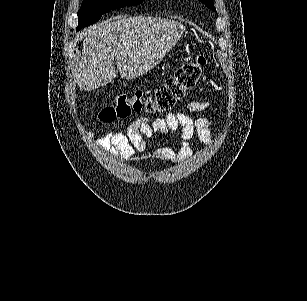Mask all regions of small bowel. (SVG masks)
Segmentation results:
<instances>
[{
  "label": "small bowel",
  "instance_id": "1",
  "mask_svg": "<svg viewBox=\"0 0 307 301\" xmlns=\"http://www.w3.org/2000/svg\"><path fill=\"white\" fill-rule=\"evenodd\" d=\"M211 107L209 102L191 101L186 112L168 113L163 118L150 119L140 117L135 119L125 131L103 133L96 140L97 146L112 151L123 160H130L137 151L146 148V140L156 135L168 139L174 134L179 136L177 149L160 147L152 154L156 160L168 163H183L192 154L190 141L197 138L203 144L210 146L213 142L212 129L215 122L207 117L194 119L191 114L206 111ZM91 136L92 133H89Z\"/></svg>",
  "mask_w": 307,
  "mask_h": 301
}]
</instances>
